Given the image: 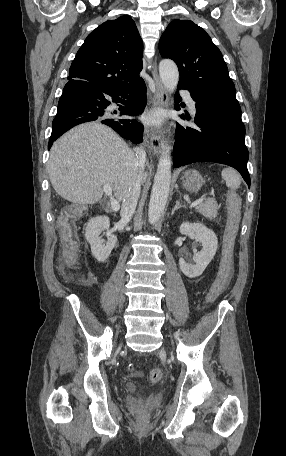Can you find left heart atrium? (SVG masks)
I'll list each match as a JSON object with an SVG mask.
<instances>
[{
	"mask_svg": "<svg viewBox=\"0 0 286 456\" xmlns=\"http://www.w3.org/2000/svg\"><path fill=\"white\" fill-rule=\"evenodd\" d=\"M162 118V115L160 112H152L146 117V120L150 123L156 124L159 123Z\"/></svg>",
	"mask_w": 286,
	"mask_h": 456,
	"instance_id": "39dd6f15",
	"label": "left heart atrium"
}]
</instances>
